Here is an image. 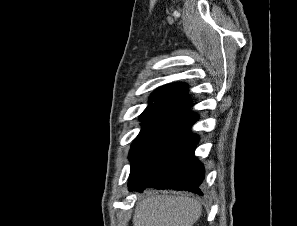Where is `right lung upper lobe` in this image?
<instances>
[{
  "mask_svg": "<svg viewBox=\"0 0 297 226\" xmlns=\"http://www.w3.org/2000/svg\"><path fill=\"white\" fill-rule=\"evenodd\" d=\"M187 89L184 83L167 84L156 89L140 120H171L190 106Z\"/></svg>",
  "mask_w": 297,
  "mask_h": 226,
  "instance_id": "cb5924a9",
  "label": "right lung upper lobe"
}]
</instances>
